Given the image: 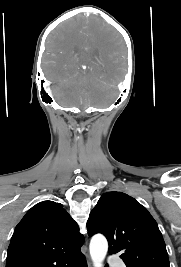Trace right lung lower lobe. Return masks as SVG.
Wrapping results in <instances>:
<instances>
[{"label": "right lung lower lobe", "instance_id": "1", "mask_svg": "<svg viewBox=\"0 0 181 267\" xmlns=\"http://www.w3.org/2000/svg\"><path fill=\"white\" fill-rule=\"evenodd\" d=\"M55 267H87V264L84 256L79 252L74 256L65 259L58 265H55Z\"/></svg>", "mask_w": 181, "mask_h": 267}]
</instances>
